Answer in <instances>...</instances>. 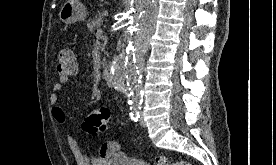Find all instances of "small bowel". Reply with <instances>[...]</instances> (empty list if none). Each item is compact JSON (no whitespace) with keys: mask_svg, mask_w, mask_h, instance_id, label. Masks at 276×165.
Here are the masks:
<instances>
[{"mask_svg":"<svg viewBox=\"0 0 276 165\" xmlns=\"http://www.w3.org/2000/svg\"><path fill=\"white\" fill-rule=\"evenodd\" d=\"M69 82V78H60L56 83L52 84V93L50 95V102L52 105V115L54 119L62 125L65 129L66 138L69 147L74 155L77 165H109L114 154L117 151V145L115 144V149L111 151L101 152L96 156H89L85 151L79 146L74 136L66 128V113L61 106L58 92L62 91L64 86Z\"/></svg>","mask_w":276,"mask_h":165,"instance_id":"obj_1","label":"small bowel"}]
</instances>
